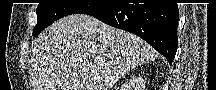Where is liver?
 <instances>
[{"label": "liver", "mask_w": 216, "mask_h": 90, "mask_svg": "<svg viewBox=\"0 0 216 90\" xmlns=\"http://www.w3.org/2000/svg\"><path fill=\"white\" fill-rule=\"evenodd\" d=\"M153 52L130 32L73 14L34 40V90H111L131 68L152 60Z\"/></svg>", "instance_id": "obj_1"}]
</instances>
